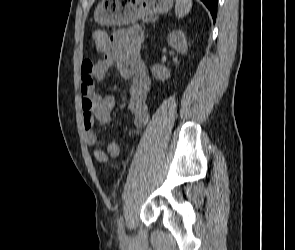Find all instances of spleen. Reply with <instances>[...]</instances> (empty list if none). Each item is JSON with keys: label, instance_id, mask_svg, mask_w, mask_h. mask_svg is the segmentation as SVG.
<instances>
[{"label": "spleen", "instance_id": "1", "mask_svg": "<svg viewBox=\"0 0 295 250\" xmlns=\"http://www.w3.org/2000/svg\"><path fill=\"white\" fill-rule=\"evenodd\" d=\"M192 8V0H176L175 14L178 18L186 16Z\"/></svg>", "mask_w": 295, "mask_h": 250}]
</instances>
